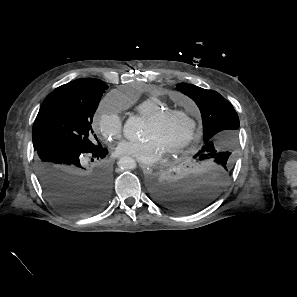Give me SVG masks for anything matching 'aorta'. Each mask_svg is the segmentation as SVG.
I'll return each instance as SVG.
<instances>
[{
  "label": "aorta",
  "mask_w": 297,
  "mask_h": 297,
  "mask_svg": "<svg viewBox=\"0 0 297 297\" xmlns=\"http://www.w3.org/2000/svg\"><path fill=\"white\" fill-rule=\"evenodd\" d=\"M143 122L140 118L132 116L128 118L123 127L126 139L137 141L142 136ZM118 166L125 170H132L136 167V162L132 157L124 156L118 161Z\"/></svg>",
  "instance_id": "762f6f07"
}]
</instances>
